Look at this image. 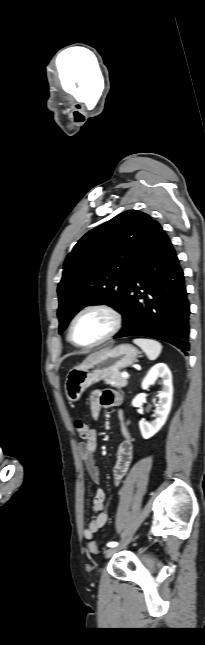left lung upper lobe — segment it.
Masks as SVG:
<instances>
[{"label": "left lung upper lobe", "mask_w": 205, "mask_h": 645, "mask_svg": "<svg viewBox=\"0 0 205 645\" xmlns=\"http://www.w3.org/2000/svg\"><path fill=\"white\" fill-rule=\"evenodd\" d=\"M151 217L127 210L90 230L67 256L58 285L59 333L83 307L103 303L121 312L130 267Z\"/></svg>", "instance_id": "obj_1"}]
</instances>
